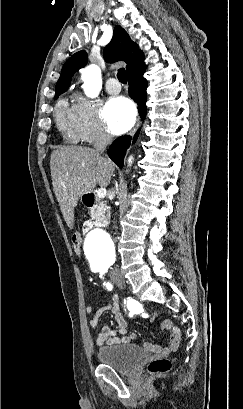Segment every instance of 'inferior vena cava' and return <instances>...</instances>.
<instances>
[{
    "label": "inferior vena cava",
    "mask_w": 243,
    "mask_h": 409,
    "mask_svg": "<svg viewBox=\"0 0 243 409\" xmlns=\"http://www.w3.org/2000/svg\"><path fill=\"white\" fill-rule=\"evenodd\" d=\"M112 137L107 133H100L94 141V148L98 152H103L111 143Z\"/></svg>",
    "instance_id": "obj_1"
}]
</instances>
